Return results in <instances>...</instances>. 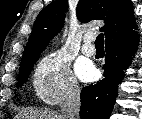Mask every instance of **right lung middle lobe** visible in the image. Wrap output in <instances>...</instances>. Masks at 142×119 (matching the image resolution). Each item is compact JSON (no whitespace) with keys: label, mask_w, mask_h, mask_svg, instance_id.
I'll return each instance as SVG.
<instances>
[{"label":"right lung middle lobe","mask_w":142,"mask_h":119,"mask_svg":"<svg viewBox=\"0 0 142 119\" xmlns=\"http://www.w3.org/2000/svg\"><path fill=\"white\" fill-rule=\"evenodd\" d=\"M38 58L39 57L30 60L29 62H27L26 64H24L23 66L20 67L18 86H21L23 83L26 82V80H27L34 64L38 60Z\"/></svg>","instance_id":"right-lung-middle-lobe-1"}]
</instances>
